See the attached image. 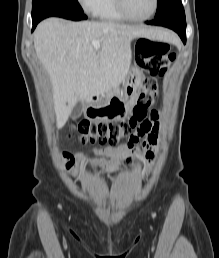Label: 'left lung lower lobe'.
<instances>
[{"label":"left lung lower lobe","mask_w":219,"mask_h":258,"mask_svg":"<svg viewBox=\"0 0 219 258\" xmlns=\"http://www.w3.org/2000/svg\"><path fill=\"white\" fill-rule=\"evenodd\" d=\"M146 23L170 28L179 34L184 44L186 43L185 16L172 15L160 19H154L153 21H147Z\"/></svg>","instance_id":"left-lung-lower-lobe-1"}]
</instances>
